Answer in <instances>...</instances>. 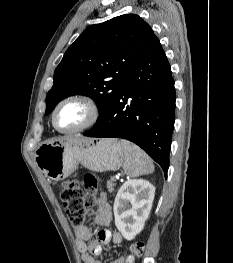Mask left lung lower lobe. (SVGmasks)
<instances>
[{
    "mask_svg": "<svg viewBox=\"0 0 233 263\" xmlns=\"http://www.w3.org/2000/svg\"><path fill=\"white\" fill-rule=\"evenodd\" d=\"M175 101L171 68L155 38L125 77L110 110L84 135L134 142L160 164L167 177Z\"/></svg>",
    "mask_w": 233,
    "mask_h": 263,
    "instance_id": "obj_1",
    "label": "left lung lower lobe"
}]
</instances>
